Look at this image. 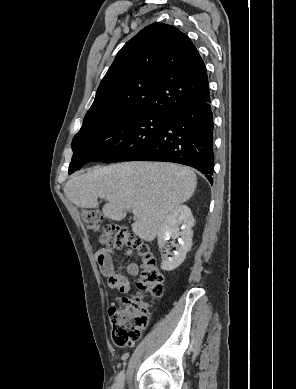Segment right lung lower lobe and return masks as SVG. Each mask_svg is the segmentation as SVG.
I'll return each instance as SVG.
<instances>
[{"label": "right lung lower lobe", "mask_w": 296, "mask_h": 389, "mask_svg": "<svg viewBox=\"0 0 296 389\" xmlns=\"http://www.w3.org/2000/svg\"><path fill=\"white\" fill-rule=\"evenodd\" d=\"M213 131V114L208 98L169 115L165 126L136 160L165 161L191 166L203 173L212 184ZM81 167L82 165H78L75 170Z\"/></svg>", "instance_id": "right-lung-lower-lobe-1"}]
</instances>
